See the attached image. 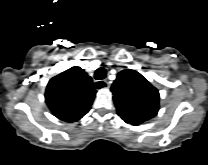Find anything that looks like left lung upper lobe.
Returning a JSON list of instances; mask_svg holds the SVG:
<instances>
[{
    "label": "left lung upper lobe",
    "instance_id": "obj_1",
    "mask_svg": "<svg viewBox=\"0 0 208 165\" xmlns=\"http://www.w3.org/2000/svg\"><path fill=\"white\" fill-rule=\"evenodd\" d=\"M111 92L117 113L126 123L138 126L158 113L159 92L137 71H121Z\"/></svg>",
    "mask_w": 208,
    "mask_h": 165
}]
</instances>
